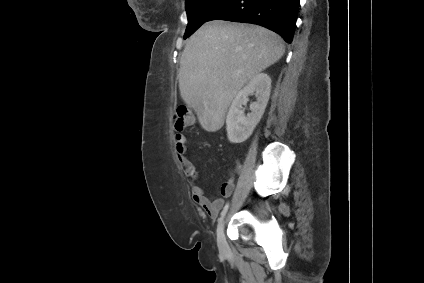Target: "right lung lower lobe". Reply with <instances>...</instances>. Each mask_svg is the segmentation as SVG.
Listing matches in <instances>:
<instances>
[{
  "instance_id": "right-lung-lower-lobe-1",
  "label": "right lung lower lobe",
  "mask_w": 424,
  "mask_h": 283,
  "mask_svg": "<svg viewBox=\"0 0 424 283\" xmlns=\"http://www.w3.org/2000/svg\"><path fill=\"white\" fill-rule=\"evenodd\" d=\"M298 7L299 0H229L209 21L228 20L261 25L291 43Z\"/></svg>"
}]
</instances>
